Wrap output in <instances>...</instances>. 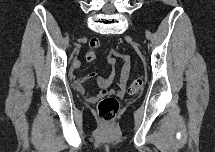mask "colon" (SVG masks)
Masks as SVG:
<instances>
[{
	"label": "colon",
	"instance_id": "obj_1",
	"mask_svg": "<svg viewBox=\"0 0 215 152\" xmlns=\"http://www.w3.org/2000/svg\"><path fill=\"white\" fill-rule=\"evenodd\" d=\"M100 46V42L97 38H91L89 41V47L90 51L86 54V60L88 62H92L95 60L96 56L93 52L94 49L98 48ZM143 84L142 78H137L131 82V84L128 87V93L129 94H136L140 91ZM120 109V104L117 98L112 96H107L102 98L97 105V112L100 117V119L110 124L113 122L115 117L117 116Z\"/></svg>",
	"mask_w": 215,
	"mask_h": 152
}]
</instances>
